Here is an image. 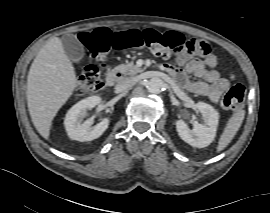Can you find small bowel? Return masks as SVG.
I'll use <instances>...</instances> for the list:
<instances>
[{"instance_id":"obj_1","label":"small bowel","mask_w":270,"mask_h":213,"mask_svg":"<svg viewBox=\"0 0 270 213\" xmlns=\"http://www.w3.org/2000/svg\"><path fill=\"white\" fill-rule=\"evenodd\" d=\"M208 46V44H207ZM218 59L208 51L203 59L190 58L187 54H180L175 65L163 64L162 69L170 73L176 80L184 79L185 75L199 78V81H186L184 86L197 94L207 96L213 103H217L221 95L228 90L230 82L221 77L215 69Z\"/></svg>"}]
</instances>
